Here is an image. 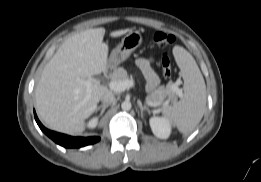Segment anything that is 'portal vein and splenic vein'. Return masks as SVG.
Segmentation results:
<instances>
[{
  "label": "portal vein and splenic vein",
  "mask_w": 261,
  "mask_h": 182,
  "mask_svg": "<svg viewBox=\"0 0 261 182\" xmlns=\"http://www.w3.org/2000/svg\"><path fill=\"white\" fill-rule=\"evenodd\" d=\"M84 83L87 87H89L91 85L90 80H87ZM133 86H134L133 80H120V81L112 80V81L109 82V88L111 90L115 91V92H122V91H125L126 89L133 87ZM173 90L178 94V96L182 97V95H183L182 91L177 86H174ZM148 104L150 106H156L155 104H153L151 102H148Z\"/></svg>",
  "instance_id": "obj_1"
}]
</instances>
